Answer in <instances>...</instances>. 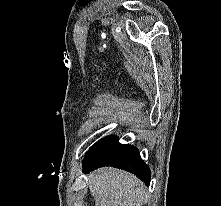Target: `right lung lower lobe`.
<instances>
[{
    "label": "right lung lower lobe",
    "instance_id": "obj_1",
    "mask_svg": "<svg viewBox=\"0 0 221 206\" xmlns=\"http://www.w3.org/2000/svg\"><path fill=\"white\" fill-rule=\"evenodd\" d=\"M103 166H112L129 171L149 186L151 172L142 161L138 149L132 145L120 144L114 135L95 143L83 160L84 172Z\"/></svg>",
    "mask_w": 221,
    "mask_h": 206
}]
</instances>
